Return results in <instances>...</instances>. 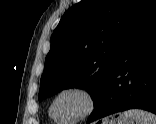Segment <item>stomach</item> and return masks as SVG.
<instances>
[{
	"instance_id": "obj_1",
	"label": "stomach",
	"mask_w": 156,
	"mask_h": 124,
	"mask_svg": "<svg viewBox=\"0 0 156 124\" xmlns=\"http://www.w3.org/2000/svg\"><path fill=\"white\" fill-rule=\"evenodd\" d=\"M103 124H134L132 119H127L123 114H119L117 118L104 121Z\"/></svg>"
}]
</instances>
